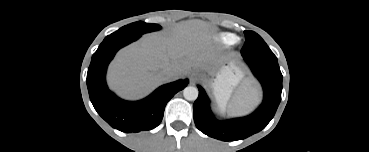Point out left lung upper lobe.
I'll list each match as a JSON object with an SVG mask.
<instances>
[{
    "mask_svg": "<svg viewBox=\"0 0 369 152\" xmlns=\"http://www.w3.org/2000/svg\"><path fill=\"white\" fill-rule=\"evenodd\" d=\"M246 41L241 51L243 56L252 58L277 59L265 41L253 31H244Z\"/></svg>",
    "mask_w": 369,
    "mask_h": 152,
    "instance_id": "5c2ea615",
    "label": "left lung upper lobe"
}]
</instances>
